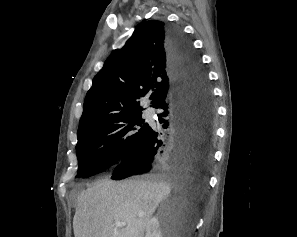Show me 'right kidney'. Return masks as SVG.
I'll return each mask as SVG.
<instances>
[{"mask_svg": "<svg viewBox=\"0 0 297 237\" xmlns=\"http://www.w3.org/2000/svg\"><path fill=\"white\" fill-rule=\"evenodd\" d=\"M169 234H165L161 228L159 219L155 216L151 218L146 226L145 237H166Z\"/></svg>", "mask_w": 297, "mask_h": 237, "instance_id": "ca27d5eb", "label": "right kidney"}]
</instances>
